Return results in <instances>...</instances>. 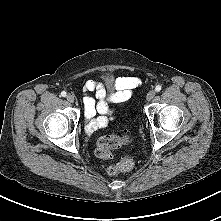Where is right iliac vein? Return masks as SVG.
<instances>
[{
	"label": "right iliac vein",
	"mask_w": 221,
	"mask_h": 221,
	"mask_svg": "<svg viewBox=\"0 0 221 221\" xmlns=\"http://www.w3.org/2000/svg\"><path fill=\"white\" fill-rule=\"evenodd\" d=\"M66 99L70 103H73L75 101V97L72 94H68Z\"/></svg>",
	"instance_id": "1"
}]
</instances>
